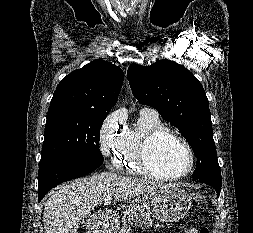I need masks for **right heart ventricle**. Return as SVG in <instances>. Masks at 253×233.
Returning a JSON list of instances; mask_svg holds the SVG:
<instances>
[{
  "label": "right heart ventricle",
  "mask_w": 253,
  "mask_h": 233,
  "mask_svg": "<svg viewBox=\"0 0 253 233\" xmlns=\"http://www.w3.org/2000/svg\"><path fill=\"white\" fill-rule=\"evenodd\" d=\"M164 127L158 114L140 113L137 123L125 128L116 148L113 166L127 173L145 175L138 163V153L142 140L150 132Z\"/></svg>",
  "instance_id": "e07e8e85"
}]
</instances>
